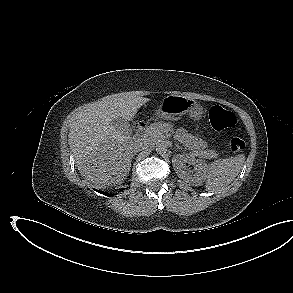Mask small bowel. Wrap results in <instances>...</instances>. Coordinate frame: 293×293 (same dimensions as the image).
Wrapping results in <instances>:
<instances>
[{"label":"small bowel","mask_w":293,"mask_h":293,"mask_svg":"<svg viewBox=\"0 0 293 293\" xmlns=\"http://www.w3.org/2000/svg\"><path fill=\"white\" fill-rule=\"evenodd\" d=\"M182 138L191 146L193 147H202L204 146V142L200 141V140H196V139H193L191 138L190 136L182 133Z\"/></svg>","instance_id":"obj_1"}]
</instances>
